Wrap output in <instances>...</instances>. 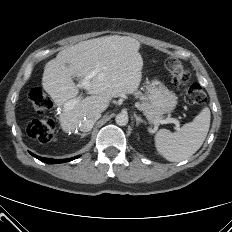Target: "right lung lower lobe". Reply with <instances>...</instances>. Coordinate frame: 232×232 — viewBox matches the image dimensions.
<instances>
[{
  "instance_id": "98d812e1",
  "label": "right lung lower lobe",
  "mask_w": 232,
  "mask_h": 232,
  "mask_svg": "<svg viewBox=\"0 0 232 232\" xmlns=\"http://www.w3.org/2000/svg\"><path fill=\"white\" fill-rule=\"evenodd\" d=\"M31 155H33L35 158L45 162V163H49V164H56V163H64V162H69V161H72L80 156H76V157H73V158H68V159H51V158H43V157H39L33 153H31Z\"/></svg>"
}]
</instances>
